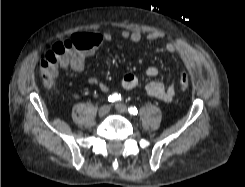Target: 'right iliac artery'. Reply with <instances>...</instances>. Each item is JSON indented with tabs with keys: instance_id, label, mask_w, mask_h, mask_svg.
<instances>
[{
	"instance_id": "1",
	"label": "right iliac artery",
	"mask_w": 245,
	"mask_h": 187,
	"mask_svg": "<svg viewBox=\"0 0 245 187\" xmlns=\"http://www.w3.org/2000/svg\"><path fill=\"white\" fill-rule=\"evenodd\" d=\"M121 100V95L118 93H114L108 97L109 102H118Z\"/></svg>"
}]
</instances>
